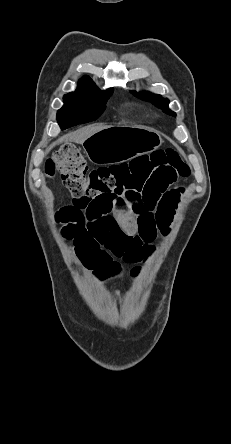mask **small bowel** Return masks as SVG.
I'll list each match as a JSON object with an SVG mask.
<instances>
[{"label": "small bowel", "instance_id": "1", "mask_svg": "<svg viewBox=\"0 0 231 444\" xmlns=\"http://www.w3.org/2000/svg\"><path fill=\"white\" fill-rule=\"evenodd\" d=\"M181 191L153 185L142 201L125 197L74 200L59 212L62 232L85 268L97 277L121 273L115 259L143 262L154 251L158 234H167ZM139 267L131 271L137 276Z\"/></svg>", "mask_w": 231, "mask_h": 444}]
</instances>
